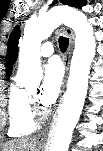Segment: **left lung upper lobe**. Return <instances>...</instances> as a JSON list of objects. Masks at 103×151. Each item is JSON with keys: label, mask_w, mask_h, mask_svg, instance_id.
<instances>
[{"label": "left lung upper lobe", "mask_w": 103, "mask_h": 151, "mask_svg": "<svg viewBox=\"0 0 103 151\" xmlns=\"http://www.w3.org/2000/svg\"><path fill=\"white\" fill-rule=\"evenodd\" d=\"M61 2L63 4H66L69 6H75L80 9L86 5V0H62ZM54 3H57V0H55Z\"/></svg>", "instance_id": "5c2ea615"}]
</instances>
